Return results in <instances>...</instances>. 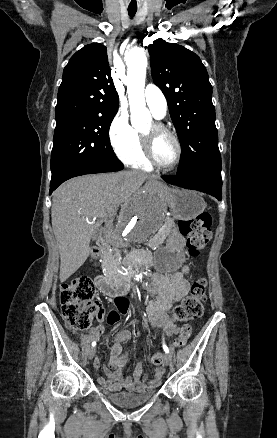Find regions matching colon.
<instances>
[{
  "instance_id": "5ec220e1",
  "label": "colon",
  "mask_w": 277,
  "mask_h": 438,
  "mask_svg": "<svg viewBox=\"0 0 277 438\" xmlns=\"http://www.w3.org/2000/svg\"><path fill=\"white\" fill-rule=\"evenodd\" d=\"M211 216L208 212L201 213L196 220L182 219L179 222L181 234L186 238V249L189 255L196 257L206 247L211 238ZM100 255L97 247L92 248L87 258L96 260ZM94 285L88 276L74 277L61 287L60 303L63 317L75 330L87 329L90 325L95 327L97 322L93 320L97 306L92 301ZM206 301V279L197 278L190 287L189 294L176 308L177 316L189 321L202 315ZM192 333L191 326L185 324L181 327L179 335L175 339V345L182 347ZM155 365L163 362V354L156 353L152 357Z\"/></svg>"
}]
</instances>
